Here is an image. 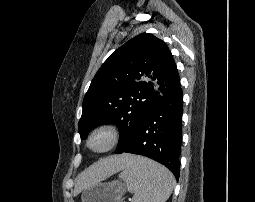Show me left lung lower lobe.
<instances>
[{
  "mask_svg": "<svg viewBox=\"0 0 255 202\" xmlns=\"http://www.w3.org/2000/svg\"><path fill=\"white\" fill-rule=\"evenodd\" d=\"M183 93L181 87L164 96L147 114L129 143L118 153L149 157L179 179Z\"/></svg>",
  "mask_w": 255,
  "mask_h": 202,
  "instance_id": "obj_1",
  "label": "left lung lower lobe"
}]
</instances>
